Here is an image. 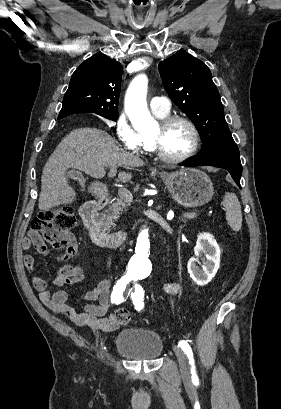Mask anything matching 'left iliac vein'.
I'll return each instance as SVG.
<instances>
[{
  "mask_svg": "<svg viewBox=\"0 0 281 409\" xmlns=\"http://www.w3.org/2000/svg\"><path fill=\"white\" fill-rule=\"evenodd\" d=\"M173 350H174V353H175V355L177 357L181 374L183 376H188L189 375V369H188V366H187L185 353L183 352L182 349H180L179 347H176V346H174Z\"/></svg>",
  "mask_w": 281,
  "mask_h": 409,
  "instance_id": "left-iliac-vein-1",
  "label": "left iliac vein"
}]
</instances>
